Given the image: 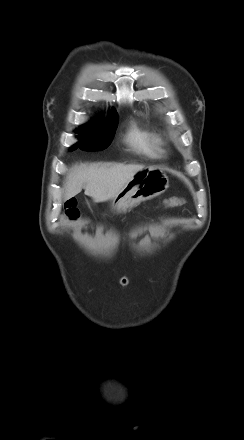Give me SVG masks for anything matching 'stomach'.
Listing matches in <instances>:
<instances>
[{
  "label": "stomach",
  "instance_id": "obj_1",
  "mask_svg": "<svg viewBox=\"0 0 244 440\" xmlns=\"http://www.w3.org/2000/svg\"><path fill=\"white\" fill-rule=\"evenodd\" d=\"M169 187L167 175L158 167L146 166L138 171L126 186L111 199V207L117 212L139 205L164 193Z\"/></svg>",
  "mask_w": 244,
  "mask_h": 440
}]
</instances>
